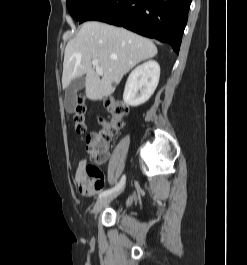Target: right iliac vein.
<instances>
[{
  "mask_svg": "<svg viewBox=\"0 0 247 265\" xmlns=\"http://www.w3.org/2000/svg\"><path fill=\"white\" fill-rule=\"evenodd\" d=\"M121 191L122 189L116 191L113 194L100 198L93 207V214L97 215L101 211V209L108 205L114 198H116Z\"/></svg>",
  "mask_w": 247,
  "mask_h": 265,
  "instance_id": "63e3f726",
  "label": "right iliac vein"
}]
</instances>
